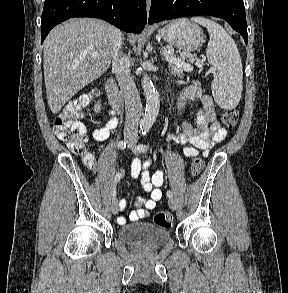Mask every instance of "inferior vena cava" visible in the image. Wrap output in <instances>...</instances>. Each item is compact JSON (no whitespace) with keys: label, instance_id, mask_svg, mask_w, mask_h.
<instances>
[{"label":"inferior vena cava","instance_id":"1","mask_svg":"<svg viewBox=\"0 0 288 293\" xmlns=\"http://www.w3.org/2000/svg\"><path fill=\"white\" fill-rule=\"evenodd\" d=\"M120 39L114 49L112 68L116 71V78L125 98L126 122L124 135L138 137V124L142 114V104L135 82L130 72L129 59L121 51Z\"/></svg>","mask_w":288,"mask_h":293}]
</instances>
